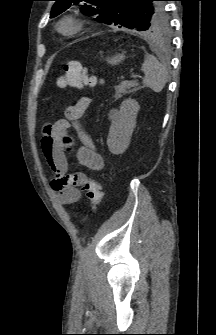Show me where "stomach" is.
<instances>
[{
    "mask_svg": "<svg viewBox=\"0 0 216 335\" xmlns=\"http://www.w3.org/2000/svg\"><path fill=\"white\" fill-rule=\"evenodd\" d=\"M125 59V55L124 54H117L111 58H107V63L110 65H118L119 63H121L123 60Z\"/></svg>",
    "mask_w": 216,
    "mask_h": 335,
    "instance_id": "0dacf381",
    "label": "stomach"
}]
</instances>
